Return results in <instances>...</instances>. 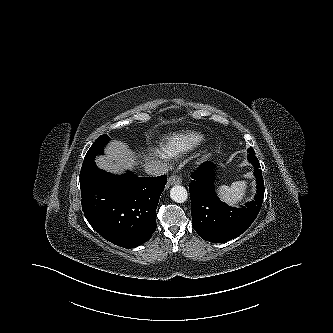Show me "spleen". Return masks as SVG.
Wrapping results in <instances>:
<instances>
[{
    "mask_svg": "<svg viewBox=\"0 0 333 333\" xmlns=\"http://www.w3.org/2000/svg\"><path fill=\"white\" fill-rule=\"evenodd\" d=\"M247 183L245 181L233 182L231 186L222 185L217 188L218 195L230 206H235L244 199Z\"/></svg>",
    "mask_w": 333,
    "mask_h": 333,
    "instance_id": "3e777b00",
    "label": "spleen"
}]
</instances>
